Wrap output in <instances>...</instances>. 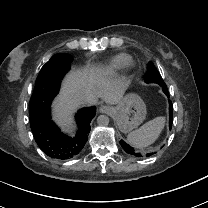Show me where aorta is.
<instances>
[{"mask_svg":"<svg viewBox=\"0 0 208 208\" xmlns=\"http://www.w3.org/2000/svg\"><path fill=\"white\" fill-rule=\"evenodd\" d=\"M97 123L100 126H107L109 124V117L106 115H100L97 118Z\"/></svg>","mask_w":208,"mask_h":208,"instance_id":"762f6f07","label":"aorta"}]
</instances>
